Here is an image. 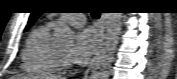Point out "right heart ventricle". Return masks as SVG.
<instances>
[{
    "instance_id": "right-heart-ventricle-1",
    "label": "right heart ventricle",
    "mask_w": 177,
    "mask_h": 79,
    "mask_svg": "<svg viewBox=\"0 0 177 79\" xmlns=\"http://www.w3.org/2000/svg\"><path fill=\"white\" fill-rule=\"evenodd\" d=\"M52 25L35 28L27 39L22 51L21 67L24 71L53 75L61 69L59 50L51 43L50 32Z\"/></svg>"
}]
</instances>
